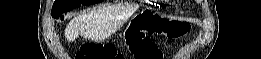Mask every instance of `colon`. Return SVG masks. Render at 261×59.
Masks as SVG:
<instances>
[{
	"mask_svg": "<svg viewBox=\"0 0 261 59\" xmlns=\"http://www.w3.org/2000/svg\"><path fill=\"white\" fill-rule=\"evenodd\" d=\"M189 30L188 25L170 22L157 15H143L128 33V44L134 59H160L162 54L152 42L151 37L165 35L178 39ZM121 55L113 47L88 43L81 47L76 59H120Z\"/></svg>",
	"mask_w": 261,
	"mask_h": 59,
	"instance_id": "colon-1",
	"label": "colon"
}]
</instances>
